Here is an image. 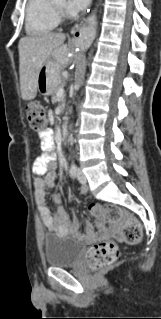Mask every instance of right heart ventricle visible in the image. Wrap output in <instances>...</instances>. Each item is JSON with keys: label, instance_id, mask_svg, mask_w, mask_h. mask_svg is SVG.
<instances>
[{"label": "right heart ventricle", "instance_id": "right-heart-ventricle-1", "mask_svg": "<svg viewBox=\"0 0 161 319\" xmlns=\"http://www.w3.org/2000/svg\"><path fill=\"white\" fill-rule=\"evenodd\" d=\"M52 0H28L25 29L30 36L52 32L59 23V16Z\"/></svg>", "mask_w": 161, "mask_h": 319}]
</instances>
